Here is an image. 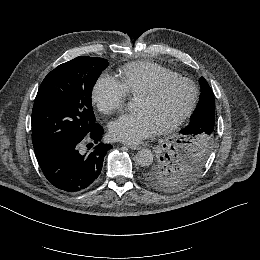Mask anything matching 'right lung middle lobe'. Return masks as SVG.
<instances>
[{
    "label": "right lung middle lobe",
    "mask_w": 260,
    "mask_h": 260,
    "mask_svg": "<svg viewBox=\"0 0 260 260\" xmlns=\"http://www.w3.org/2000/svg\"><path fill=\"white\" fill-rule=\"evenodd\" d=\"M108 64L103 58L80 56L45 77L31 118L36 154L87 138L96 125L92 88Z\"/></svg>",
    "instance_id": "dd1d6c3e"
}]
</instances>
